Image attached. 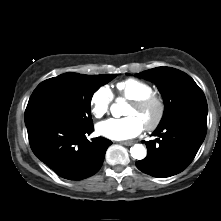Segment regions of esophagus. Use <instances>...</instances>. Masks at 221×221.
<instances>
[{"mask_svg": "<svg viewBox=\"0 0 221 221\" xmlns=\"http://www.w3.org/2000/svg\"><path fill=\"white\" fill-rule=\"evenodd\" d=\"M121 144L125 145V146H131L134 144V142L133 141H122Z\"/></svg>", "mask_w": 221, "mask_h": 221, "instance_id": "esophagus-1", "label": "esophagus"}]
</instances>
